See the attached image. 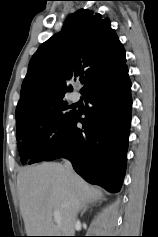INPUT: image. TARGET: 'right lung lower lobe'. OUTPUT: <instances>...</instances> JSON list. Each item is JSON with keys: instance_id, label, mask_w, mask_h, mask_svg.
Wrapping results in <instances>:
<instances>
[{"instance_id": "98d812e1", "label": "right lung lower lobe", "mask_w": 158, "mask_h": 237, "mask_svg": "<svg viewBox=\"0 0 158 237\" xmlns=\"http://www.w3.org/2000/svg\"><path fill=\"white\" fill-rule=\"evenodd\" d=\"M85 118L74 112L29 164L70 159L74 170L91 184L119 191L126 168L131 122V82L126 64L91 85L83 94ZM82 123V129L77 123Z\"/></svg>"}]
</instances>
